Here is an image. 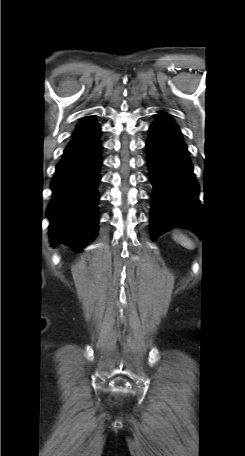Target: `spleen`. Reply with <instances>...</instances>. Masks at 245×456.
<instances>
[{"label": "spleen", "mask_w": 245, "mask_h": 456, "mask_svg": "<svg viewBox=\"0 0 245 456\" xmlns=\"http://www.w3.org/2000/svg\"><path fill=\"white\" fill-rule=\"evenodd\" d=\"M174 239L188 249H192L194 247V244L192 243V241L182 234L174 235Z\"/></svg>", "instance_id": "3e777b00"}]
</instances>
